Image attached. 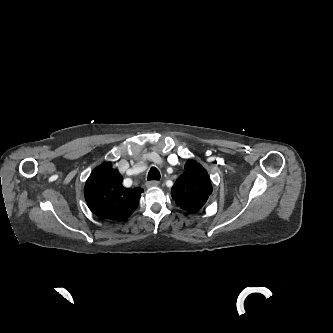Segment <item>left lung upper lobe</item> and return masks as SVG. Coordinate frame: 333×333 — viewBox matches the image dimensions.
Returning a JSON list of instances; mask_svg holds the SVG:
<instances>
[{"mask_svg":"<svg viewBox=\"0 0 333 333\" xmlns=\"http://www.w3.org/2000/svg\"><path fill=\"white\" fill-rule=\"evenodd\" d=\"M212 193L207 171L194 160L185 164V172L179 176L171 189L175 203L188 213L199 211Z\"/></svg>","mask_w":333,"mask_h":333,"instance_id":"1","label":"left lung upper lobe"}]
</instances>
